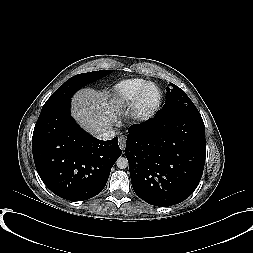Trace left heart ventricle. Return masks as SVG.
Here are the masks:
<instances>
[{"label": "left heart ventricle", "mask_w": 253, "mask_h": 253, "mask_svg": "<svg viewBox=\"0 0 253 253\" xmlns=\"http://www.w3.org/2000/svg\"><path fill=\"white\" fill-rule=\"evenodd\" d=\"M158 91L155 87H149L145 93L144 101L147 105H152L158 100Z\"/></svg>", "instance_id": "left-heart-ventricle-1"}]
</instances>
